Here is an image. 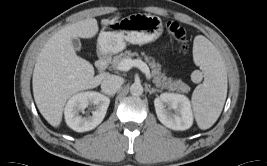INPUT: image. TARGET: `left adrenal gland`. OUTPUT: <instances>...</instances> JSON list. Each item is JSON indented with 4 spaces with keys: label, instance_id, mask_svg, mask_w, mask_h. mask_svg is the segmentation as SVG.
Wrapping results in <instances>:
<instances>
[{
    "label": "left adrenal gland",
    "instance_id": "obj_1",
    "mask_svg": "<svg viewBox=\"0 0 267 166\" xmlns=\"http://www.w3.org/2000/svg\"><path fill=\"white\" fill-rule=\"evenodd\" d=\"M146 91L149 92V94L155 93V92H161V90L156 88H151L150 85L146 87Z\"/></svg>",
    "mask_w": 267,
    "mask_h": 166
}]
</instances>
